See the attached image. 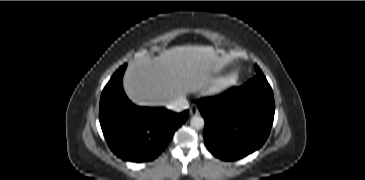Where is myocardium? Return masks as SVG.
Returning <instances> with one entry per match:
<instances>
[{"label":"myocardium","mask_w":365,"mask_h":180,"mask_svg":"<svg viewBox=\"0 0 365 180\" xmlns=\"http://www.w3.org/2000/svg\"><path fill=\"white\" fill-rule=\"evenodd\" d=\"M239 75L236 71L228 72L214 80L207 90V96L219 98L229 92L238 82Z\"/></svg>","instance_id":"1"}]
</instances>
